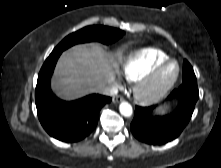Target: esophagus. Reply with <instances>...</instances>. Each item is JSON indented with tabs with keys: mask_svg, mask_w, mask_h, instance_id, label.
Here are the masks:
<instances>
[{
	"mask_svg": "<svg viewBox=\"0 0 221 168\" xmlns=\"http://www.w3.org/2000/svg\"><path fill=\"white\" fill-rule=\"evenodd\" d=\"M112 101H113V103H119V102L123 101V97L122 96H114Z\"/></svg>",
	"mask_w": 221,
	"mask_h": 168,
	"instance_id": "obj_1",
	"label": "esophagus"
}]
</instances>
